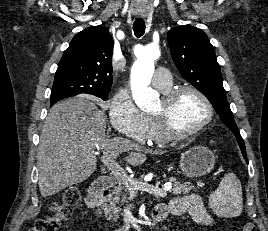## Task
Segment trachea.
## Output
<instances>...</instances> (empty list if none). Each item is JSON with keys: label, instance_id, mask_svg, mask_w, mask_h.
<instances>
[{"label": "trachea", "instance_id": "trachea-1", "mask_svg": "<svg viewBox=\"0 0 268 231\" xmlns=\"http://www.w3.org/2000/svg\"><path fill=\"white\" fill-rule=\"evenodd\" d=\"M145 22L143 19L138 18L133 23V30L136 37H141L145 32Z\"/></svg>", "mask_w": 268, "mask_h": 231}]
</instances>
